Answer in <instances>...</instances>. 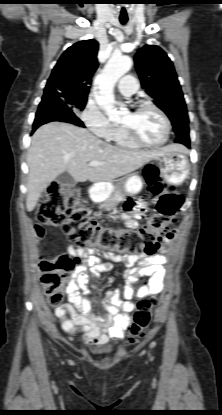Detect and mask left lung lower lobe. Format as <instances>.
Here are the masks:
<instances>
[{"mask_svg": "<svg viewBox=\"0 0 222 415\" xmlns=\"http://www.w3.org/2000/svg\"><path fill=\"white\" fill-rule=\"evenodd\" d=\"M175 142L184 144L185 146L190 148V138H189L188 133H183V134L177 135L176 139H175Z\"/></svg>", "mask_w": 222, "mask_h": 415, "instance_id": "left-lung-lower-lobe-1", "label": "left lung lower lobe"}]
</instances>
